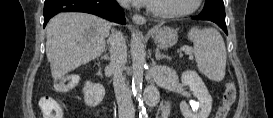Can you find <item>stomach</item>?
Instances as JSON below:
<instances>
[{
	"mask_svg": "<svg viewBox=\"0 0 273 118\" xmlns=\"http://www.w3.org/2000/svg\"><path fill=\"white\" fill-rule=\"evenodd\" d=\"M154 41L160 48H169L176 44L178 34L176 30L170 27H157L153 30Z\"/></svg>",
	"mask_w": 273,
	"mask_h": 118,
	"instance_id": "obj_1",
	"label": "stomach"
}]
</instances>
